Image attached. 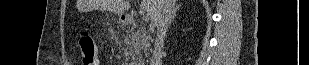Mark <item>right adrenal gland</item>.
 <instances>
[{
    "label": "right adrenal gland",
    "instance_id": "obj_1",
    "mask_svg": "<svg viewBox=\"0 0 309 65\" xmlns=\"http://www.w3.org/2000/svg\"><path fill=\"white\" fill-rule=\"evenodd\" d=\"M178 10H179V7H176V8L173 7L170 23H172L174 21V19L176 17V13H177Z\"/></svg>",
    "mask_w": 309,
    "mask_h": 65
}]
</instances>
